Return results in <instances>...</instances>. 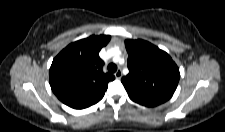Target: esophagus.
<instances>
[{"instance_id":"1","label":"esophagus","mask_w":225,"mask_h":132,"mask_svg":"<svg viewBox=\"0 0 225 132\" xmlns=\"http://www.w3.org/2000/svg\"><path fill=\"white\" fill-rule=\"evenodd\" d=\"M114 75H115L116 79H120L122 77V71L117 70Z\"/></svg>"}]
</instances>
